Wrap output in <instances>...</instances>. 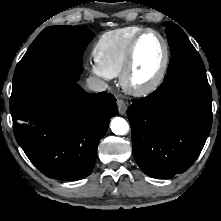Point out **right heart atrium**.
Masks as SVG:
<instances>
[{
  "mask_svg": "<svg viewBox=\"0 0 221 221\" xmlns=\"http://www.w3.org/2000/svg\"><path fill=\"white\" fill-rule=\"evenodd\" d=\"M90 69L92 71L93 74L103 78V79H106V80H109L111 78L110 75H108L101 67L100 65L97 63V62H94L90 65Z\"/></svg>",
  "mask_w": 221,
  "mask_h": 221,
  "instance_id": "obj_1",
  "label": "right heart atrium"
}]
</instances>
